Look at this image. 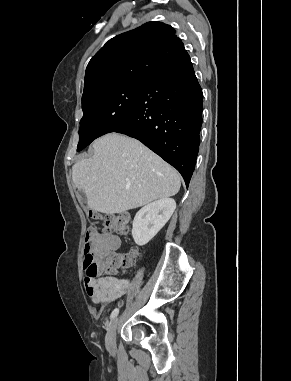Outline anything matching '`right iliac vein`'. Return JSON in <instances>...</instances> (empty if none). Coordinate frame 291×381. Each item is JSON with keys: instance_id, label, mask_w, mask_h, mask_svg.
<instances>
[{"instance_id": "right-iliac-vein-1", "label": "right iliac vein", "mask_w": 291, "mask_h": 381, "mask_svg": "<svg viewBox=\"0 0 291 381\" xmlns=\"http://www.w3.org/2000/svg\"><path fill=\"white\" fill-rule=\"evenodd\" d=\"M119 323V318L116 317L111 325L109 326V329L107 331V336H106V343L109 348H114L115 346V340H116V330L118 327Z\"/></svg>"}]
</instances>
